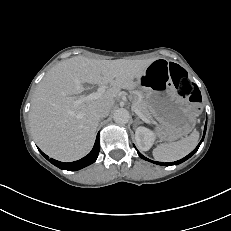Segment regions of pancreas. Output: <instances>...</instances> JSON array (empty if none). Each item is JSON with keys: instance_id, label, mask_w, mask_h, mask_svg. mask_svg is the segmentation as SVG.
Here are the masks:
<instances>
[{"instance_id": "obj_1", "label": "pancreas", "mask_w": 231, "mask_h": 231, "mask_svg": "<svg viewBox=\"0 0 231 231\" xmlns=\"http://www.w3.org/2000/svg\"><path fill=\"white\" fill-rule=\"evenodd\" d=\"M134 105L140 112L149 120L153 121L152 114L150 111V106L147 104L146 101L142 100L138 95L134 96L133 99Z\"/></svg>"}]
</instances>
